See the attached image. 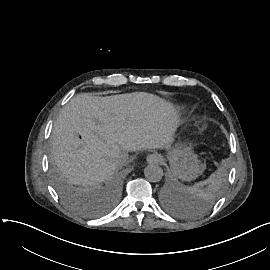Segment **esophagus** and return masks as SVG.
I'll list each match as a JSON object with an SVG mask.
<instances>
[{
	"label": "esophagus",
	"instance_id": "1",
	"mask_svg": "<svg viewBox=\"0 0 270 270\" xmlns=\"http://www.w3.org/2000/svg\"><path fill=\"white\" fill-rule=\"evenodd\" d=\"M146 161H147L149 164L159 163V162L161 161V157H160V155L157 154V153L149 154V155L146 157Z\"/></svg>",
	"mask_w": 270,
	"mask_h": 270
}]
</instances>
